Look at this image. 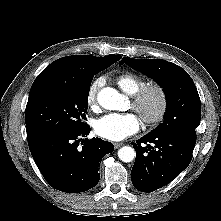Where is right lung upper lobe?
<instances>
[{
  "instance_id": "1",
  "label": "right lung upper lobe",
  "mask_w": 221,
  "mask_h": 221,
  "mask_svg": "<svg viewBox=\"0 0 221 221\" xmlns=\"http://www.w3.org/2000/svg\"><path fill=\"white\" fill-rule=\"evenodd\" d=\"M119 55L95 57L92 55H73L60 58L47 66L40 75H55L59 77L81 80L86 78L93 69L103 61L119 60Z\"/></svg>"
}]
</instances>
